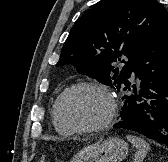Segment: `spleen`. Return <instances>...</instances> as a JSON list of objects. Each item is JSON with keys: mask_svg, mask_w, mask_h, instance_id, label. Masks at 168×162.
<instances>
[{"mask_svg": "<svg viewBox=\"0 0 168 162\" xmlns=\"http://www.w3.org/2000/svg\"><path fill=\"white\" fill-rule=\"evenodd\" d=\"M127 140L138 149L134 156V162H142L147 152L150 150L149 144L143 139L133 135H127Z\"/></svg>", "mask_w": 168, "mask_h": 162, "instance_id": "spleen-1", "label": "spleen"}]
</instances>
